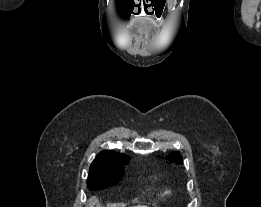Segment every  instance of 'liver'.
I'll return each instance as SVG.
<instances>
[{
	"instance_id": "liver-1",
	"label": "liver",
	"mask_w": 261,
	"mask_h": 207,
	"mask_svg": "<svg viewBox=\"0 0 261 207\" xmlns=\"http://www.w3.org/2000/svg\"><path fill=\"white\" fill-rule=\"evenodd\" d=\"M97 203V199L95 197L91 198L89 200V205L88 207H94L95 204ZM133 207H148V206H145V205H138V206H133Z\"/></svg>"
}]
</instances>
